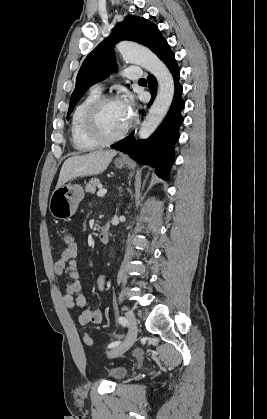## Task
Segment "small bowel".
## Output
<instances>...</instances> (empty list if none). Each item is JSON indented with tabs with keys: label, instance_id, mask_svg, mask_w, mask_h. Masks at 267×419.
Masks as SVG:
<instances>
[{
	"label": "small bowel",
	"instance_id": "c3829d8e",
	"mask_svg": "<svg viewBox=\"0 0 267 419\" xmlns=\"http://www.w3.org/2000/svg\"><path fill=\"white\" fill-rule=\"evenodd\" d=\"M78 255V245L65 248L60 258L54 264V272L57 276H67L69 278L65 293L63 294V302L69 309H79L78 317L81 325L89 323H100L103 318L102 311L87 306V300L82 293L81 283L76 268V257ZM105 276L100 275L97 279V287L100 291L105 289Z\"/></svg>",
	"mask_w": 267,
	"mask_h": 419
}]
</instances>
